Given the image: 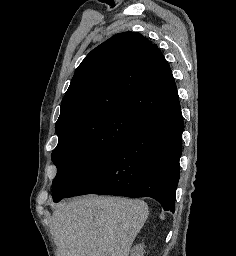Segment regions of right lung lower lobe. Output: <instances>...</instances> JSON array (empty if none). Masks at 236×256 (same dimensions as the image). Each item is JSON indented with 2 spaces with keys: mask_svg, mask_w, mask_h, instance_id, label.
<instances>
[{
  "mask_svg": "<svg viewBox=\"0 0 236 256\" xmlns=\"http://www.w3.org/2000/svg\"><path fill=\"white\" fill-rule=\"evenodd\" d=\"M180 109L178 99L142 121L65 197L85 194L151 197L164 210L174 213L182 153Z\"/></svg>",
  "mask_w": 236,
  "mask_h": 256,
  "instance_id": "obj_1",
  "label": "right lung lower lobe"
}]
</instances>
